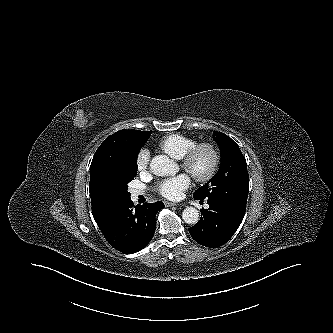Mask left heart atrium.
<instances>
[{
	"instance_id": "1",
	"label": "left heart atrium",
	"mask_w": 333,
	"mask_h": 333,
	"mask_svg": "<svg viewBox=\"0 0 333 333\" xmlns=\"http://www.w3.org/2000/svg\"><path fill=\"white\" fill-rule=\"evenodd\" d=\"M190 177L185 174H179L174 177H168L158 182L157 191L168 199H178L182 192L190 186Z\"/></svg>"
}]
</instances>
